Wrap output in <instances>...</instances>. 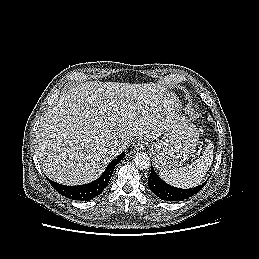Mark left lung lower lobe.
Here are the masks:
<instances>
[{
  "instance_id": "left-lung-lower-lobe-1",
  "label": "left lung lower lobe",
  "mask_w": 259,
  "mask_h": 259,
  "mask_svg": "<svg viewBox=\"0 0 259 259\" xmlns=\"http://www.w3.org/2000/svg\"><path fill=\"white\" fill-rule=\"evenodd\" d=\"M205 181L203 184L191 188V189H181L173 187L167 183H165L154 171L151 169V174L148 178V185L150 190L158 196L160 199L165 201H179L187 199L194 194L198 193L206 184Z\"/></svg>"
}]
</instances>
